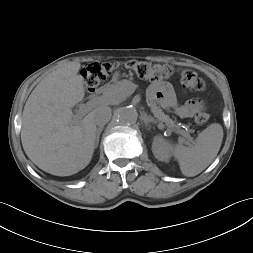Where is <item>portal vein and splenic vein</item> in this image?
Returning a JSON list of instances; mask_svg holds the SVG:
<instances>
[{
	"mask_svg": "<svg viewBox=\"0 0 253 253\" xmlns=\"http://www.w3.org/2000/svg\"><path fill=\"white\" fill-rule=\"evenodd\" d=\"M92 108V104L90 103H86V104H81L79 107V112L78 114L74 117V122H77L81 116H83L84 114H86L88 111H90V109ZM184 137H187L188 134L186 132H182L181 133Z\"/></svg>",
	"mask_w": 253,
	"mask_h": 253,
	"instance_id": "18ae733b",
	"label": "portal vein and splenic vein"
}]
</instances>
